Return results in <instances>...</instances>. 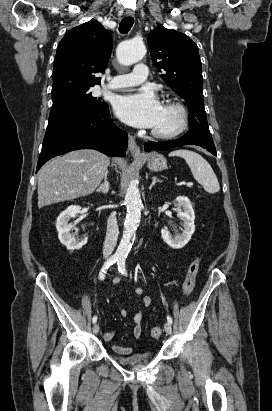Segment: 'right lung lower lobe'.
<instances>
[{
  "label": "right lung lower lobe",
  "mask_w": 272,
  "mask_h": 411,
  "mask_svg": "<svg viewBox=\"0 0 272 411\" xmlns=\"http://www.w3.org/2000/svg\"><path fill=\"white\" fill-rule=\"evenodd\" d=\"M128 135L110 118L108 105L98 111L79 112L48 122L36 172L49 159L78 149H95L124 157Z\"/></svg>",
  "instance_id": "obj_1"
}]
</instances>
